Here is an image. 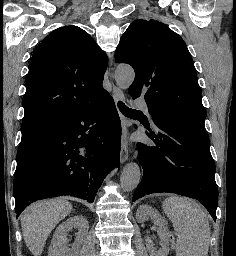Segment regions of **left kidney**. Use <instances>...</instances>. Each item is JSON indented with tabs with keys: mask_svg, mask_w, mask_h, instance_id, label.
I'll list each match as a JSON object with an SVG mask.
<instances>
[{
	"mask_svg": "<svg viewBox=\"0 0 236 256\" xmlns=\"http://www.w3.org/2000/svg\"><path fill=\"white\" fill-rule=\"evenodd\" d=\"M147 216L153 220L155 226H157L158 230V236H160V244H161V250H154L153 242L150 240V238H146V248L149 252V256H168L169 252V232H167L166 224L164 220H162L160 214H158L157 210H153L151 206H139L137 212H136V220L137 222H145L147 220Z\"/></svg>",
	"mask_w": 236,
	"mask_h": 256,
	"instance_id": "1",
	"label": "left kidney"
}]
</instances>
